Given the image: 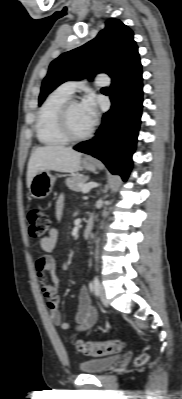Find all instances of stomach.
Here are the masks:
<instances>
[{
    "label": "stomach",
    "mask_w": 182,
    "mask_h": 399,
    "mask_svg": "<svg viewBox=\"0 0 182 399\" xmlns=\"http://www.w3.org/2000/svg\"><path fill=\"white\" fill-rule=\"evenodd\" d=\"M82 166L89 171H95L98 163L95 160H83ZM54 183L55 177L49 170L41 171L33 177L29 192L36 199L46 198L51 193Z\"/></svg>",
    "instance_id": "1"
}]
</instances>
